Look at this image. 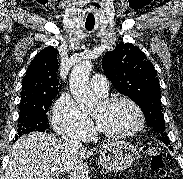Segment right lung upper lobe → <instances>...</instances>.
Here are the masks:
<instances>
[{"instance_id":"obj_1","label":"right lung upper lobe","mask_w":183,"mask_h":179,"mask_svg":"<svg viewBox=\"0 0 183 179\" xmlns=\"http://www.w3.org/2000/svg\"><path fill=\"white\" fill-rule=\"evenodd\" d=\"M57 52L49 46L40 51L29 65L22 82L21 102L57 94Z\"/></svg>"}]
</instances>
